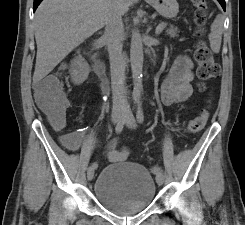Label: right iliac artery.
Instances as JSON below:
<instances>
[{
	"instance_id": "1",
	"label": "right iliac artery",
	"mask_w": 245,
	"mask_h": 225,
	"mask_svg": "<svg viewBox=\"0 0 245 225\" xmlns=\"http://www.w3.org/2000/svg\"><path fill=\"white\" fill-rule=\"evenodd\" d=\"M123 127H124L123 121L117 123V125L115 127L116 133H120L123 130ZM91 167L95 169L98 167V164L96 162H94Z\"/></svg>"
}]
</instances>
